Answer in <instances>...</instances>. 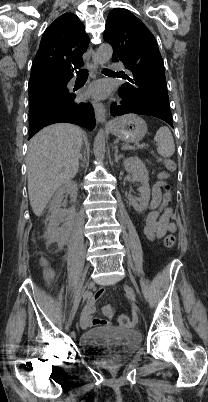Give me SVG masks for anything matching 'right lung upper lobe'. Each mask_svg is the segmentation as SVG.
I'll return each mask as SVG.
<instances>
[{"label": "right lung upper lobe", "instance_id": "cb5924a9", "mask_svg": "<svg viewBox=\"0 0 208 402\" xmlns=\"http://www.w3.org/2000/svg\"><path fill=\"white\" fill-rule=\"evenodd\" d=\"M88 45L89 37L79 18L73 13L61 15L42 35L29 82L71 79L74 69L83 65Z\"/></svg>", "mask_w": 208, "mask_h": 402}]
</instances>
